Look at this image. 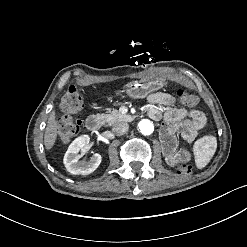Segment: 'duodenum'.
<instances>
[{
  "label": "duodenum",
  "mask_w": 247,
  "mask_h": 247,
  "mask_svg": "<svg viewBox=\"0 0 247 247\" xmlns=\"http://www.w3.org/2000/svg\"><path fill=\"white\" fill-rule=\"evenodd\" d=\"M102 124L103 118L99 115H92L86 120V127L92 131L100 129Z\"/></svg>",
  "instance_id": "obj_1"
}]
</instances>
